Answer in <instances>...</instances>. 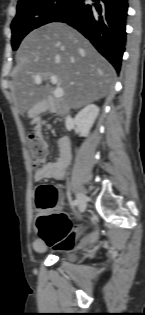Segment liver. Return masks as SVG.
I'll use <instances>...</instances> for the list:
<instances>
[{
    "label": "liver",
    "instance_id": "obj_1",
    "mask_svg": "<svg viewBox=\"0 0 145 315\" xmlns=\"http://www.w3.org/2000/svg\"><path fill=\"white\" fill-rule=\"evenodd\" d=\"M12 97L21 114L47 101L59 111L78 109L105 97L112 88L115 70L78 31L51 23L28 34L16 53ZM41 76V83L34 81ZM57 77L63 97L55 102L50 76ZM44 83V84H43Z\"/></svg>",
    "mask_w": 145,
    "mask_h": 315
}]
</instances>
